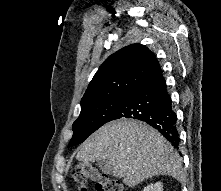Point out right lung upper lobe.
<instances>
[{
    "mask_svg": "<svg viewBox=\"0 0 221 191\" xmlns=\"http://www.w3.org/2000/svg\"><path fill=\"white\" fill-rule=\"evenodd\" d=\"M159 70L155 55L144 45L126 46L110 55L100 66L81 99V108L126 95Z\"/></svg>",
    "mask_w": 221,
    "mask_h": 191,
    "instance_id": "obj_1",
    "label": "right lung upper lobe"
}]
</instances>
